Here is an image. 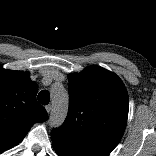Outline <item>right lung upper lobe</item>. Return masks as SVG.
<instances>
[{
    "instance_id": "right-lung-upper-lobe-1",
    "label": "right lung upper lobe",
    "mask_w": 156,
    "mask_h": 156,
    "mask_svg": "<svg viewBox=\"0 0 156 156\" xmlns=\"http://www.w3.org/2000/svg\"><path fill=\"white\" fill-rule=\"evenodd\" d=\"M38 85L28 72L5 70L0 66V151L19 143L35 123L48 119L36 101Z\"/></svg>"
}]
</instances>
